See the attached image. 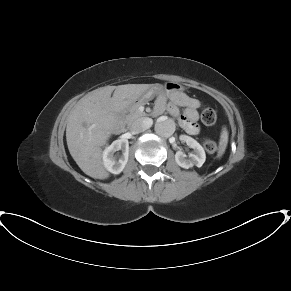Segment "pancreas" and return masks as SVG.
I'll list each match as a JSON object with an SVG mask.
<instances>
[{
  "label": "pancreas",
  "mask_w": 291,
  "mask_h": 291,
  "mask_svg": "<svg viewBox=\"0 0 291 291\" xmlns=\"http://www.w3.org/2000/svg\"><path fill=\"white\" fill-rule=\"evenodd\" d=\"M144 104H145V101L142 99L139 102L133 103L127 107V109L125 110V113H126L125 119L128 123H131L137 118H140L146 115L145 112H142L139 110V107Z\"/></svg>",
  "instance_id": "pancreas-1"
}]
</instances>
